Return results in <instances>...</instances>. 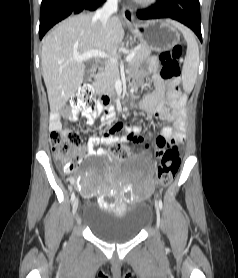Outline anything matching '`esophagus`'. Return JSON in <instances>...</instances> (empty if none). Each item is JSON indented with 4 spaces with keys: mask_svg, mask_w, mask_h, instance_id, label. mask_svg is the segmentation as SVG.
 Instances as JSON below:
<instances>
[{
    "mask_svg": "<svg viewBox=\"0 0 238 278\" xmlns=\"http://www.w3.org/2000/svg\"><path fill=\"white\" fill-rule=\"evenodd\" d=\"M123 18L127 24L132 25L135 23L133 11L128 7L123 8Z\"/></svg>",
    "mask_w": 238,
    "mask_h": 278,
    "instance_id": "esophagus-1",
    "label": "esophagus"
}]
</instances>
